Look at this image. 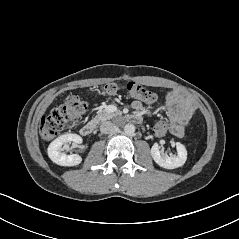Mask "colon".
I'll return each mask as SVG.
<instances>
[{"instance_id":"colon-1","label":"colon","mask_w":239,"mask_h":239,"mask_svg":"<svg viewBox=\"0 0 239 239\" xmlns=\"http://www.w3.org/2000/svg\"><path fill=\"white\" fill-rule=\"evenodd\" d=\"M123 90L133 98L139 99L147 104L156 101V95L135 82H127L122 85L109 84L105 87L108 94H115ZM87 110L86 104L77 96H69L65 102L55 108L48 116L41 119L40 132L45 139H53L59 135L65 127L73 126L81 121ZM170 130L169 121L166 118H159L152 127V134L155 137H162Z\"/></svg>"}]
</instances>
